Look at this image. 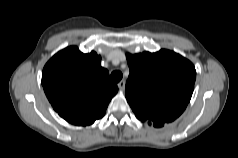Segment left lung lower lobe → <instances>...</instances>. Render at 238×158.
I'll list each match as a JSON object with an SVG mask.
<instances>
[{"label": "left lung lower lobe", "mask_w": 238, "mask_h": 158, "mask_svg": "<svg viewBox=\"0 0 238 158\" xmlns=\"http://www.w3.org/2000/svg\"><path fill=\"white\" fill-rule=\"evenodd\" d=\"M141 120V119H140ZM141 121H145V120H141ZM148 123L151 125H153V126H155V127H161V126H163L165 123H168V122H149L148 121Z\"/></svg>", "instance_id": "obj_1"}]
</instances>
